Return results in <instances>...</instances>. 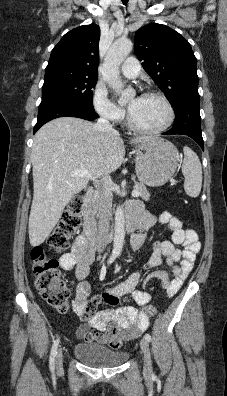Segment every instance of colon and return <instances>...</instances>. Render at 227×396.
Segmentation results:
<instances>
[{
	"mask_svg": "<svg viewBox=\"0 0 227 396\" xmlns=\"http://www.w3.org/2000/svg\"><path fill=\"white\" fill-rule=\"evenodd\" d=\"M82 213L83 198L74 196L66 206L60 222L47 240L49 249L62 252L68 248L70 239L81 225ZM31 258L37 290L50 306L61 313L67 312L70 292L61 277L58 261L49 257L42 246H36L32 249ZM156 311L153 304L144 306V312L147 315L153 316Z\"/></svg>",
	"mask_w": 227,
	"mask_h": 396,
	"instance_id": "obj_1",
	"label": "colon"
}]
</instances>
